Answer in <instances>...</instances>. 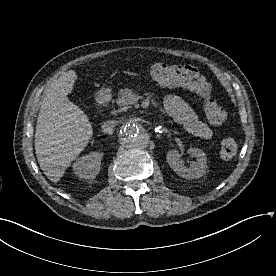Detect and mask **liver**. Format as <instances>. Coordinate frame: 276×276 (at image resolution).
I'll return each mask as SVG.
<instances>
[{
    "mask_svg": "<svg viewBox=\"0 0 276 276\" xmlns=\"http://www.w3.org/2000/svg\"><path fill=\"white\" fill-rule=\"evenodd\" d=\"M77 74L64 72L42 95L35 132V151L40 168L57 183L71 162L89 143L93 128L88 116L67 95Z\"/></svg>",
    "mask_w": 276,
    "mask_h": 276,
    "instance_id": "1",
    "label": "liver"
}]
</instances>
